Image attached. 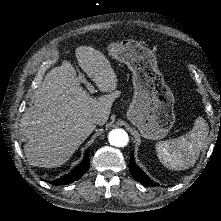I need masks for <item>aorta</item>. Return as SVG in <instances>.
Returning a JSON list of instances; mask_svg holds the SVG:
<instances>
[{"mask_svg":"<svg viewBox=\"0 0 221 221\" xmlns=\"http://www.w3.org/2000/svg\"><path fill=\"white\" fill-rule=\"evenodd\" d=\"M108 140L115 147H125L129 142V137L125 130L113 129L108 135Z\"/></svg>","mask_w":221,"mask_h":221,"instance_id":"obj_1","label":"aorta"}]
</instances>
